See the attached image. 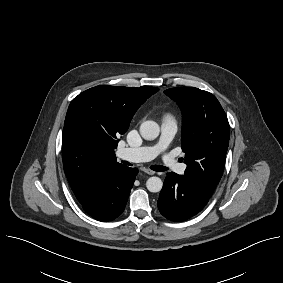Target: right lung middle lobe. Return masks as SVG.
Here are the masks:
<instances>
[{
    "mask_svg": "<svg viewBox=\"0 0 283 283\" xmlns=\"http://www.w3.org/2000/svg\"><path fill=\"white\" fill-rule=\"evenodd\" d=\"M67 116L71 126L90 141L108 139L105 130L115 124V113L95 109L83 98L75 97L68 108Z\"/></svg>",
    "mask_w": 283,
    "mask_h": 283,
    "instance_id": "obj_1",
    "label": "right lung middle lobe"
}]
</instances>
